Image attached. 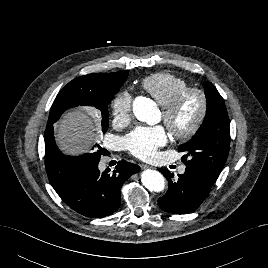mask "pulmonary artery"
<instances>
[{
	"instance_id": "obj_1",
	"label": "pulmonary artery",
	"mask_w": 268,
	"mask_h": 268,
	"mask_svg": "<svg viewBox=\"0 0 268 268\" xmlns=\"http://www.w3.org/2000/svg\"><path fill=\"white\" fill-rule=\"evenodd\" d=\"M185 170H186L185 166H181V167L178 169V171H179L180 174H183V173L185 172Z\"/></svg>"
}]
</instances>
